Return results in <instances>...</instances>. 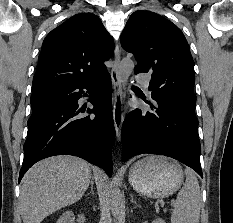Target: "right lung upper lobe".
<instances>
[{
  "instance_id": "right-lung-upper-lobe-1",
  "label": "right lung upper lobe",
  "mask_w": 233,
  "mask_h": 223,
  "mask_svg": "<svg viewBox=\"0 0 233 223\" xmlns=\"http://www.w3.org/2000/svg\"><path fill=\"white\" fill-rule=\"evenodd\" d=\"M114 43L100 18L76 14L44 39L32 91L82 83L105 73Z\"/></svg>"
}]
</instances>
